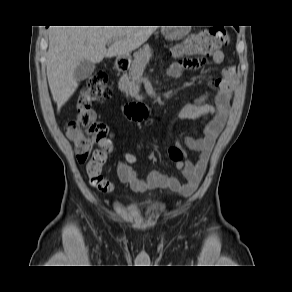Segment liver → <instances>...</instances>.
I'll return each instance as SVG.
<instances>
[{
	"label": "liver",
	"instance_id": "obj_1",
	"mask_svg": "<svg viewBox=\"0 0 292 292\" xmlns=\"http://www.w3.org/2000/svg\"><path fill=\"white\" fill-rule=\"evenodd\" d=\"M156 26H52L49 29L47 78L57 110L78 88L74 71L83 60L126 57L143 45ZM113 42L106 49V44Z\"/></svg>",
	"mask_w": 292,
	"mask_h": 292
}]
</instances>
